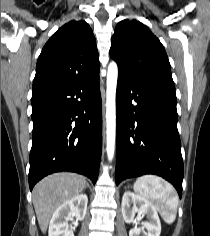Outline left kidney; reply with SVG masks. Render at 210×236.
I'll list each match as a JSON object with an SVG mask.
<instances>
[{
    "label": "left kidney",
    "instance_id": "5707ae66",
    "mask_svg": "<svg viewBox=\"0 0 210 236\" xmlns=\"http://www.w3.org/2000/svg\"><path fill=\"white\" fill-rule=\"evenodd\" d=\"M133 207L131 208V205ZM141 219L144 215L148 221L143 222L141 227H134L129 231V236H140L143 228L148 230L147 236H160L161 223L155 207L139 195L126 191L122 197V215L127 223L134 221L135 214Z\"/></svg>",
    "mask_w": 210,
    "mask_h": 236
}]
</instances>
